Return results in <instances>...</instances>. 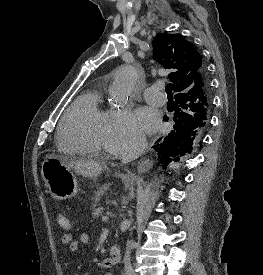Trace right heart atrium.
I'll list each match as a JSON object with an SVG mask.
<instances>
[{"label": "right heart atrium", "mask_w": 263, "mask_h": 275, "mask_svg": "<svg viewBox=\"0 0 263 275\" xmlns=\"http://www.w3.org/2000/svg\"><path fill=\"white\" fill-rule=\"evenodd\" d=\"M144 136L132 125V116L126 109L110 111L106 130L105 146L111 153H120L140 146Z\"/></svg>", "instance_id": "obj_1"}]
</instances>
